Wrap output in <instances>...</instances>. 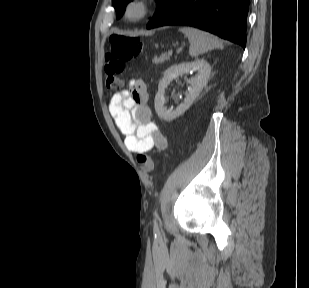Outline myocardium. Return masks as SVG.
I'll return each instance as SVG.
<instances>
[{"label":"myocardium","instance_id":"obj_1","mask_svg":"<svg viewBox=\"0 0 309 288\" xmlns=\"http://www.w3.org/2000/svg\"><path fill=\"white\" fill-rule=\"evenodd\" d=\"M133 10L136 13L133 14ZM152 10V0H127L123 8V17L126 21L135 23L147 18Z\"/></svg>","mask_w":309,"mask_h":288}]
</instances>
